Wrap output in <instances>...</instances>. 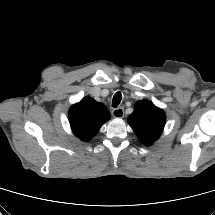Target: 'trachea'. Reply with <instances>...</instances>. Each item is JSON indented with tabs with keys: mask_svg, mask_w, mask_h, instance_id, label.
<instances>
[{
	"mask_svg": "<svg viewBox=\"0 0 215 215\" xmlns=\"http://www.w3.org/2000/svg\"><path fill=\"white\" fill-rule=\"evenodd\" d=\"M121 100H122L121 92H116L113 96L112 106L117 107L120 104Z\"/></svg>",
	"mask_w": 215,
	"mask_h": 215,
	"instance_id": "obj_1",
	"label": "trachea"
}]
</instances>
